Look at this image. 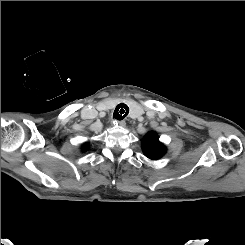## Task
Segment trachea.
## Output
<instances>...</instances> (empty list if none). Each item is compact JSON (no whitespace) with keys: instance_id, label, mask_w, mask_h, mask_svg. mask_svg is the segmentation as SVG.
I'll return each instance as SVG.
<instances>
[{"instance_id":"1","label":"trachea","mask_w":245,"mask_h":245,"mask_svg":"<svg viewBox=\"0 0 245 245\" xmlns=\"http://www.w3.org/2000/svg\"><path fill=\"white\" fill-rule=\"evenodd\" d=\"M128 113H129V107L124 103H120L115 108L113 116L117 120H123L128 115Z\"/></svg>"}]
</instances>
